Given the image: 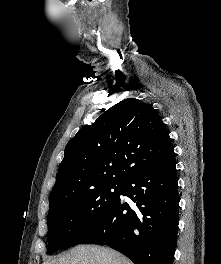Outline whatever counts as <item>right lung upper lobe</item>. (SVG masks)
<instances>
[{
    "instance_id": "right-lung-upper-lobe-1",
    "label": "right lung upper lobe",
    "mask_w": 221,
    "mask_h": 264,
    "mask_svg": "<svg viewBox=\"0 0 221 264\" xmlns=\"http://www.w3.org/2000/svg\"><path fill=\"white\" fill-rule=\"evenodd\" d=\"M174 154L169 132L156 110L135 98L105 111L66 145L50 210L65 198L109 183H123Z\"/></svg>"
}]
</instances>
